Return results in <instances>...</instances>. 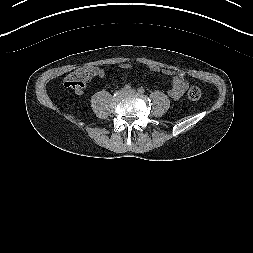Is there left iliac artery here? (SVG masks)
Here are the masks:
<instances>
[{
  "label": "left iliac artery",
  "mask_w": 253,
  "mask_h": 253,
  "mask_svg": "<svg viewBox=\"0 0 253 253\" xmlns=\"http://www.w3.org/2000/svg\"><path fill=\"white\" fill-rule=\"evenodd\" d=\"M138 92L143 94V93H145V90H144V88L140 87V88H138Z\"/></svg>",
  "instance_id": "44dca946"
}]
</instances>
